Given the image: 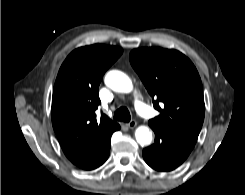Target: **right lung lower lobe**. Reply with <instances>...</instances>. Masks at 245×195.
Returning a JSON list of instances; mask_svg holds the SVG:
<instances>
[{"instance_id": "right-lung-lower-lobe-1", "label": "right lung lower lobe", "mask_w": 245, "mask_h": 195, "mask_svg": "<svg viewBox=\"0 0 245 195\" xmlns=\"http://www.w3.org/2000/svg\"><path fill=\"white\" fill-rule=\"evenodd\" d=\"M110 151V139L106 141L105 145L103 146V153L100 157V165H102L108 158ZM99 165V166H100Z\"/></svg>"}]
</instances>
